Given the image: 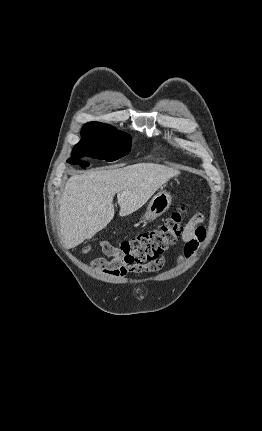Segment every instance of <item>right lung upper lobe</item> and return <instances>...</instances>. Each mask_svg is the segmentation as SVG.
<instances>
[{
	"mask_svg": "<svg viewBox=\"0 0 262 431\" xmlns=\"http://www.w3.org/2000/svg\"><path fill=\"white\" fill-rule=\"evenodd\" d=\"M99 125H107V124L100 123V122H89V123H86L84 126H99Z\"/></svg>",
	"mask_w": 262,
	"mask_h": 431,
	"instance_id": "obj_1",
	"label": "right lung upper lobe"
}]
</instances>
